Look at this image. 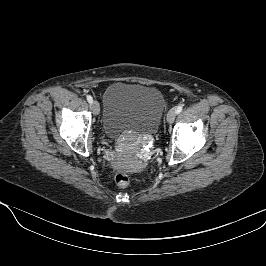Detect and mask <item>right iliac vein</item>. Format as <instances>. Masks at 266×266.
<instances>
[{
    "mask_svg": "<svg viewBox=\"0 0 266 266\" xmlns=\"http://www.w3.org/2000/svg\"><path fill=\"white\" fill-rule=\"evenodd\" d=\"M91 110L93 112L94 115H98L100 112V106L99 103L97 101H93L90 105Z\"/></svg>",
    "mask_w": 266,
    "mask_h": 266,
    "instance_id": "obj_1",
    "label": "right iliac vein"
}]
</instances>
